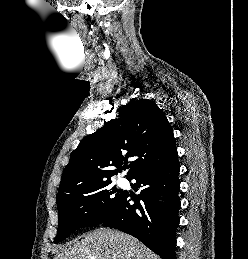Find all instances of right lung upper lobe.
Wrapping results in <instances>:
<instances>
[{"mask_svg":"<svg viewBox=\"0 0 248 259\" xmlns=\"http://www.w3.org/2000/svg\"><path fill=\"white\" fill-rule=\"evenodd\" d=\"M118 112V118L84 137L71 153L56 199L73 188L109 181L129 157L135 160L130 162L127 179L177 153L172 127L155 102L132 101Z\"/></svg>","mask_w":248,"mask_h":259,"instance_id":"1","label":"right lung upper lobe"}]
</instances>
